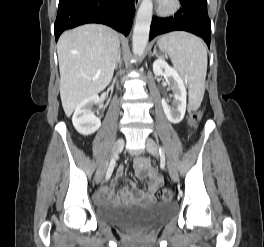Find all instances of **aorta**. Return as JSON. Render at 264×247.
Masks as SVG:
<instances>
[{"mask_svg":"<svg viewBox=\"0 0 264 247\" xmlns=\"http://www.w3.org/2000/svg\"><path fill=\"white\" fill-rule=\"evenodd\" d=\"M153 14L152 0H142L138 9L132 38V50L134 55L142 56L148 39Z\"/></svg>","mask_w":264,"mask_h":247,"instance_id":"762f6f07","label":"aorta"}]
</instances>
